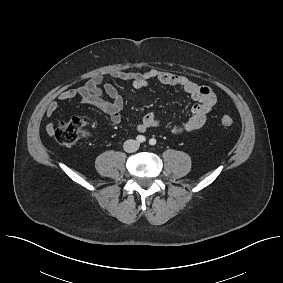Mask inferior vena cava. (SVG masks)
<instances>
[{
    "mask_svg": "<svg viewBox=\"0 0 283 283\" xmlns=\"http://www.w3.org/2000/svg\"><path fill=\"white\" fill-rule=\"evenodd\" d=\"M139 142L133 139H129L124 142L123 148L126 152L132 153L138 150L139 148Z\"/></svg>",
    "mask_w": 283,
    "mask_h": 283,
    "instance_id": "obj_1",
    "label": "inferior vena cava"
}]
</instances>
